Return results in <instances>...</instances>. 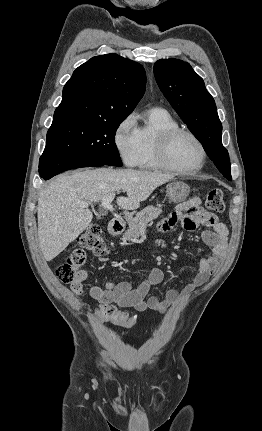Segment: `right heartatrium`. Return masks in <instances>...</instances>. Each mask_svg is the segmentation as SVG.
I'll return each mask as SVG.
<instances>
[{"mask_svg":"<svg viewBox=\"0 0 262 431\" xmlns=\"http://www.w3.org/2000/svg\"><path fill=\"white\" fill-rule=\"evenodd\" d=\"M113 142L126 165H137L139 143L137 126L133 115L126 116L118 123L114 130Z\"/></svg>","mask_w":262,"mask_h":431,"instance_id":"obj_1","label":"right heart atrium"}]
</instances>
